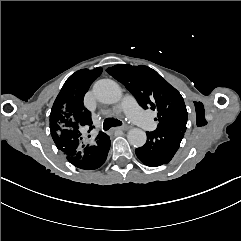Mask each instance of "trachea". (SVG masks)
I'll use <instances>...</instances> for the list:
<instances>
[{
    "label": "trachea",
    "instance_id": "obj_1",
    "mask_svg": "<svg viewBox=\"0 0 241 241\" xmlns=\"http://www.w3.org/2000/svg\"><path fill=\"white\" fill-rule=\"evenodd\" d=\"M121 125H122L121 121H119L117 119H114V118H108V119L104 120L103 130L107 131V130H109L112 127L121 126Z\"/></svg>",
    "mask_w": 241,
    "mask_h": 241
}]
</instances>
